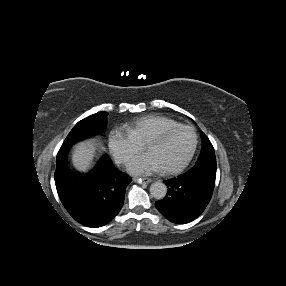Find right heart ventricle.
Segmentation results:
<instances>
[{
    "instance_id": "1",
    "label": "right heart ventricle",
    "mask_w": 286,
    "mask_h": 286,
    "mask_svg": "<svg viewBox=\"0 0 286 286\" xmlns=\"http://www.w3.org/2000/svg\"><path fill=\"white\" fill-rule=\"evenodd\" d=\"M181 124L174 119L161 115H148L140 117L136 120L125 125L127 131L139 142L145 143V141L166 129L180 126Z\"/></svg>"
}]
</instances>
